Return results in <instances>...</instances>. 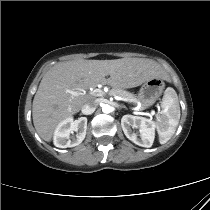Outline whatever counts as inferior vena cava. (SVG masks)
<instances>
[{"mask_svg": "<svg viewBox=\"0 0 210 210\" xmlns=\"http://www.w3.org/2000/svg\"><path fill=\"white\" fill-rule=\"evenodd\" d=\"M96 107H97L96 101L94 100L88 101L82 106V113L84 115H90L96 110Z\"/></svg>", "mask_w": 210, "mask_h": 210, "instance_id": "obj_1", "label": "inferior vena cava"}]
</instances>
